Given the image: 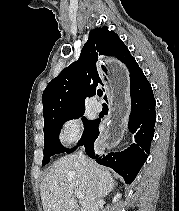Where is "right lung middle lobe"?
Masks as SVG:
<instances>
[{"mask_svg":"<svg viewBox=\"0 0 179 211\" xmlns=\"http://www.w3.org/2000/svg\"><path fill=\"white\" fill-rule=\"evenodd\" d=\"M84 110L72 112L65 115H60L52 118L47 123L44 124V157L42 165H46L50 161V156L54 154H60L63 152L71 153L75 148L67 149L65 148L59 140V133L63 123L70 119H76L80 116H83ZM82 121L84 123V132L81 139L78 142V145H82L89 137L91 132L93 131L96 121H89L85 117H82Z\"/></svg>","mask_w":179,"mask_h":211,"instance_id":"obj_1","label":"right lung middle lobe"}]
</instances>
